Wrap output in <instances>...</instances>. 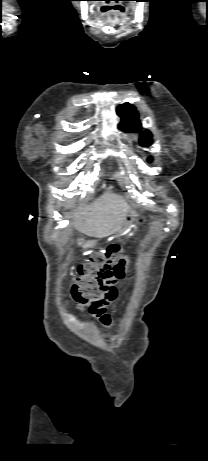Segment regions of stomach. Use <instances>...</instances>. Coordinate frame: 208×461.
Instances as JSON below:
<instances>
[{"label": "stomach", "mask_w": 208, "mask_h": 461, "mask_svg": "<svg viewBox=\"0 0 208 461\" xmlns=\"http://www.w3.org/2000/svg\"><path fill=\"white\" fill-rule=\"evenodd\" d=\"M125 222L126 223H124V225L121 227V229L116 232L117 235L122 233L126 229V227L128 226V222L127 221H125ZM86 246L89 247V248H93L95 246V242H88V244Z\"/></svg>", "instance_id": "stomach-1"}]
</instances>
